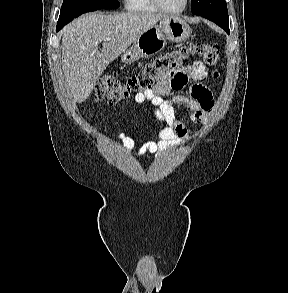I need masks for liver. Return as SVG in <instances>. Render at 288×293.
<instances>
[{
  "label": "liver",
  "instance_id": "6515ba94",
  "mask_svg": "<svg viewBox=\"0 0 288 293\" xmlns=\"http://www.w3.org/2000/svg\"><path fill=\"white\" fill-rule=\"evenodd\" d=\"M167 16L156 13H87L62 30V70L74 102L91 94L106 67L145 31ZM105 38H111L105 41ZM102 42V51L98 50Z\"/></svg>",
  "mask_w": 288,
  "mask_h": 293
}]
</instances>
